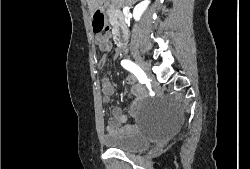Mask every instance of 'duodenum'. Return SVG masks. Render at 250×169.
Returning a JSON list of instances; mask_svg holds the SVG:
<instances>
[{
    "label": "duodenum",
    "instance_id": "duodenum-1",
    "mask_svg": "<svg viewBox=\"0 0 250 169\" xmlns=\"http://www.w3.org/2000/svg\"><path fill=\"white\" fill-rule=\"evenodd\" d=\"M112 25L114 28L113 39L115 40L116 44L120 46L128 45L130 33H129V28H128L127 22L125 20V17L122 11L117 10L113 12Z\"/></svg>",
    "mask_w": 250,
    "mask_h": 169
}]
</instances>
